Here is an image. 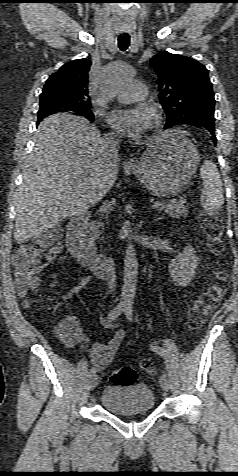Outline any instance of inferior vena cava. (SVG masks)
Instances as JSON below:
<instances>
[{"label": "inferior vena cava", "instance_id": "602c4592", "mask_svg": "<svg viewBox=\"0 0 238 476\" xmlns=\"http://www.w3.org/2000/svg\"><path fill=\"white\" fill-rule=\"evenodd\" d=\"M103 146H104V153L106 158L113 161L119 160V156H118L119 140L116 139L113 134L103 140ZM104 267L108 273V279H107L108 288L110 289V292H114L116 288V281H115V276L113 272L112 261L110 258L106 259L104 263Z\"/></svg>", "mask_w": 238, "mask_h": 476}]
</instances>
